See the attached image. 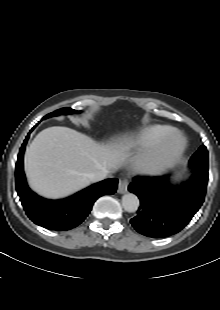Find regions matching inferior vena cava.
<instances>
[{
    "mask_svg": "<svg viewBox=\"0 0 220 310\" xmlns=\"http://www.w3.org/2000/svg\"><path fill=\"white\" fill-rule=\"evenodd\" d=\"M109 171L106 169L99 170L93 173L88 174V178L91 182H98L105 179L108 175Z\"/></svg>",
    "mask_w": 220,
    "mask_h": 310,
    "instance_id": "inferior-vena-cava-1",
    "label": "inferior vena cava"
}]
</instances>
